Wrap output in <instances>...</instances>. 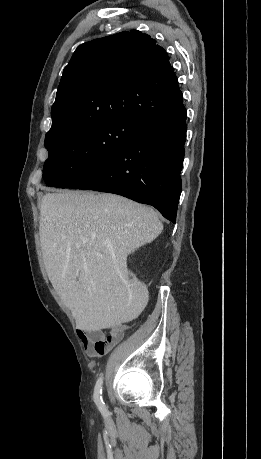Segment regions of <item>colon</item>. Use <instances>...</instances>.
<instances>
[{
  "label": "colon",
  "instance_id": "5ec220e1",
  "mask_svg": "<svg viewBox=\"0 0 261 459\" xmlns=\"http://www.w3.org/2000/svg\"><path fill=\"white\" fill-rule=\"evenodd\" d=\"M123 327H124V325H115V326H113V329H114V330H120V329H122Z\"/></svg>",
  "mask_w": 261,
  "mask_h": 459
}]
</instances>
